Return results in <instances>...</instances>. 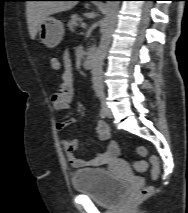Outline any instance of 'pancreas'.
I'll use <instances>...</instances> for the list:
<instances>
[{
  "label": "pancreas",
  "instance_id": "obj_1",
  "mask_svg": "<svg viewBox=\"0 0 188 213\" xmlns=\"http://www.w3.org/2000/svg\"><path fill=\"white\" fill-rule=\"evenodd\" d=\"M82 18L78 14H73L67 23L70 31H75L80 23H82Z\"/></svg>",
  "mask_w": 188,
  "mask_h": 213
}]
</instances>
